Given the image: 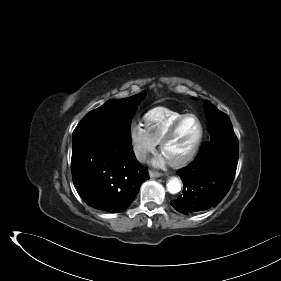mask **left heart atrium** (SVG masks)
<instances>
[{
	"mask_svg": "<svg viewBox=\"0 0 281 281\" xmlns=\"http://www.w3.org/2000/svg\"><path fill=\"white\" fill-rule=\"evenodd\" d=\"M165 162H166L165 156H160L159 158L153 161L155 165H159V166L163 165Z\"/></svg>",
	"mask_w": 281,
	"mask_h": 281,
	"instance_id": "39dd6f15",
	"label": "left heart atrium"
}]
</instances>
